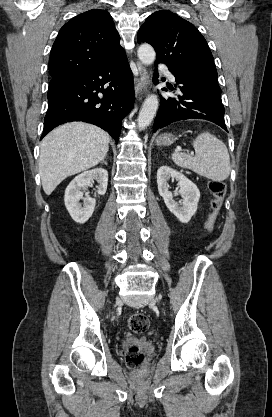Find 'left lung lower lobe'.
Masks as SVG:
<instances>
[{
  "mask_svg": "<svg viewBox=\"0 0 272 417\" xmlns=\"http://www.w3.org/2000/svg\"><path fill=\"white\" fill-rule=\"evenodd\" d=\"M170 70V69H169ZM176 79L177 98H161V105L155 118L153 131L156 132L173 122L198 118L216 123L227 131L224 123V107L221 101V91L190 78L182 73L170 70ZM158 73L155 72L153 82L158 83ZM167 91L165 88L162 89Z\"/></svg>",
  "mask_w": 272,
  "mask_h": 417,
  "instance_id": "0a47b994",
  "label": "left lung lower lobe"
}]
</instances>
